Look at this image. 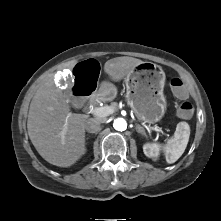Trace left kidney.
I'll return each mask as SVG.
<instances>
[{
  "instance_id": "1",
  "label": "left kidney",
  "mask_w": 221,
  "mask_h": 221,
  "mask_svg": "<svg viewBox=\"0 0 221 221\" xmlns=\"http://www.w3.org/2000/svg\"><path fill=\"white\" fill-rule=\"evenodd\" d=\"M143 151H144V154L150 158L157 159L159 156V147L157 144L146 143L143 146Z\"/></svg>"
}]
</instances>
